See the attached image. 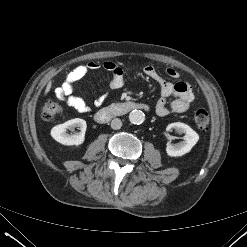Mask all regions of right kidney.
<instances>
[{"label":"right kidney","mask_w":247,"mask_h":247,"mask_svg":"<svg viewBox=\"0 0 247 247\" xmlns=\"http://www.w3.org/2000/svg\"><path fill=\"white\" fill-rule=\"evenodd\" d=\"M79 127L80 133L70 135L66 132L67 129L73 131ZM87 124L86 121L80 118L68 120L62 124L56 125L51 129V136L57 142L63 145H81L85 140Z\"/></svg>","instance_id":"right-kidney-1"}]
</instances>
